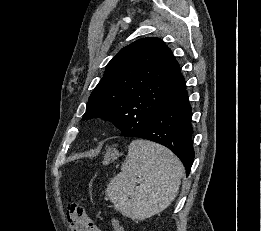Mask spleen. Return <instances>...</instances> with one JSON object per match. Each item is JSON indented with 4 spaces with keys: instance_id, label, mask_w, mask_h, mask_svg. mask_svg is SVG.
Here are the masks:
<instances>
[{
    "instance_id": "spleen-1",
    "label": "spleen",
    "mask_w": 261,
    "mask_h": 231,
    "mask_svg": "<svg viewBox=\"0 0 261 231\" xmlns=\"http://www.w3.org/2000/svg\"><path fill=\"white\" fill-rule=\"evenodd\" d=\"M182 172L181 162L170 150L147 140H134L121 172L109 182L105 194L122 215L142 220L171 204ZM137 177L141 178L139 186Z\"/></svg>"
}]
</instances>
